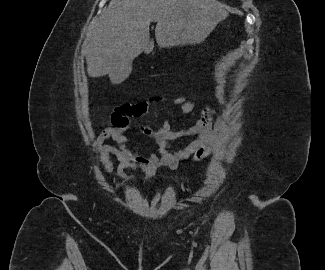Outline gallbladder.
I'll list each match as a JSON object with an SVG mask.
<instances>
[{
    "label": "gallbladder",
    "instance_id": "bac80fb5",
    "mask_svg": "<svg viewBox=\"0 0 325 270\" xmlns=\"http://www.w3.org/2000/svg\"><path fill=\"white\" fill-rule=\"evenodd\" d=\"M130 69V66L127 64H122L119 65L118 68L114 71V72H118V73H126L128 72Z\"/></svg>",
    "mask_w": 325,
    "mask_h": 270
}]
</instances>
